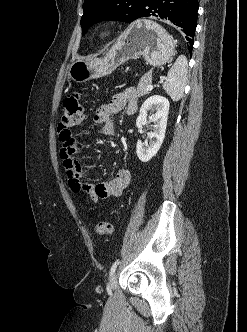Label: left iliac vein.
Returning a JSON list of instances; mask_svg holds the SVG:
<instances>
[{"label":"left iliac vein","mask_w":247,"mask_h":332,"mask_svg":"<svg viewBox=\"0 0 247 332\" xmlns=\"http://www.w3.org/2000/svg\"><path fill=\"white\" fill-rule=\"evenodd\" d=\"M117 287V276L115 274L112 275L109 282V289L112 291Z\"/></svg>","instance_id":"obj_1"}]
</instances>
